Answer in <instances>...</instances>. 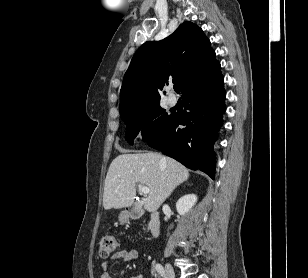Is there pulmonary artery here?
I'll use <instances>...</instances> for the list:
<instances>
[{"label":"pulmonary artery","instance_id":"pulmonary-artery-1","mask_svg":"<svg viewBox=\"0 0 308 278\" xmlns=\"http://www.w3.org/2000/svg\"><path fill=\"white\" fill-rule=\"evenodd\" d=\"M168 103L171 105V106H174L176 105L177 103V98L174 94H169L168 96Z\"/></svg>","mask_w":308,"mask_h":278}]
</instances>
